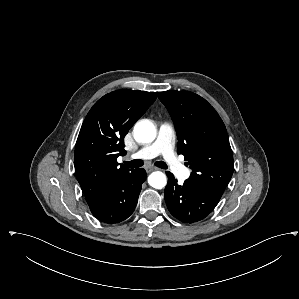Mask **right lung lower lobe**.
Here are the masks:
<instances>
[{
  "mask_svg": "<svg viewBox=\"0 0 299 299\" xmlns=\"http://www.w3.org/2000/svg\"><path fill=\"white\" fill-rule=\"evenodd\" d=\"M145 179L144 169L123 173L89 204L91 212L98 220L108 224L127 219L136 207Z\"/></svg>",
  "mask_w": 299,
  "mask_h": 299,
  "instance_id": "right-lung-lower-lobe-1",
  "label": "right lung lower lobe"
}]
</instances>
